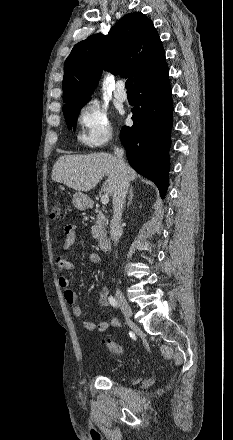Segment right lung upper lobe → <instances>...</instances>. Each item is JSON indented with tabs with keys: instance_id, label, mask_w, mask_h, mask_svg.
I'll return each mask as SVG.
<instances>
[{
	"instance_id": "obj_1",
	"label": "right lung upper lobe",
	"mask_w": 233,
	"mask_h": 440,
	"mask_svg": "<svg viewBox=\"0 0 233 440\" xmlns=\"http://www.w3.org/2000/svg\"><path fill=\"white\" fill-rule=\"evenodd\" d=\"M166 65L152 21L141 12L129 13L108 35L94 34L73 47L64 65L63 108L88 102L103 69L133 77L135 87Z\"/></svg>"
}]
</instances>
